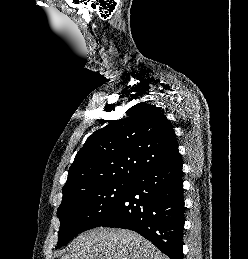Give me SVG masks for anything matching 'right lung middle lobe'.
<instances>
[{"label":"right lung middle lobe","instance_id":"obj_1","mask_svg":"<svg viewBox=\"0 0 248 259\" xmlns=\"http://www.w3.org/2000/svg\"><path fill=\"white\" fill-rule=\"evenodd\" d=\"M130 185L131 181H106L80 186L63 194L57 211L60 230L56 248L105 221Z\"/></svg>","mask_w":248,"mask_h":259}]
</instances>
